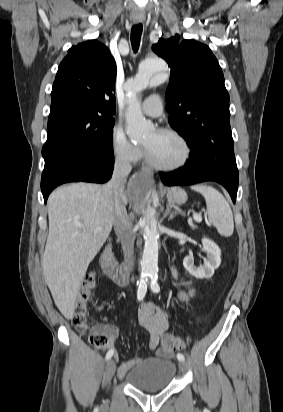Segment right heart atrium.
<instances>
[{
	"mask_svg": "<svg viewBox=\"0 0 283 412\" xmlns=\"http://www.w3.org/2000/svg\"><path fill=\"white\" fill-rule=\"evenodd\" d=\"M110 146L114 157L127 164L137 162L142 156V147L130 141L119 125L112 128Z\"/></svg>",
	"mask_w": 283,
	"mask_h": 412,
	"instance_id": "right-heart-atrium-1",
	"label": "right heart atrium"
}]
</instances>
